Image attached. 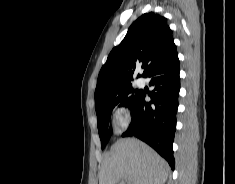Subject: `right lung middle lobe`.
<instances>
[{"label": "right lung middle lobe", "mask_w": 235, "mask_h": 184, "mask_svg": "<svg viewBox=\"0 0 235 184\" xmlns=\"http://www.w3.org/2000/svg\"><path fill=\"white\" fill-rule=\"evenodd\" d=\"M139 93L140 90L134 88L132 84L115 87L110 91L111 102L105 106L95 107L102 149L106 146L111 136V129L108 130V121L113 108L117 105L129 108Z\"/></svg>", "instance_id": "right-lung-middle-lobe-1"}]
</instances>
